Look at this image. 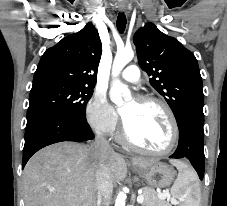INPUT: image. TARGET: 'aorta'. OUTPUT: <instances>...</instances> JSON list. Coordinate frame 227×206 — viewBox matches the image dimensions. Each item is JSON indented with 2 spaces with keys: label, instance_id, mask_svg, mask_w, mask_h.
<instances>
[{
  "label": "aorta",
  "instance_id": "762f6f07",
  "mask_svg": "<svg viewBox=\"0 0 227 206\" xmlns=\"http://www.w3.org/2000/svg\"><path fill=\"white\" fill-rule=\"evenodd\" d=\"M134 52L132 49L119 50L115 56L113 66H112V83L109 91L110 99L116 105H121L123 100L130 98V90L127 85L123 84L118 76L122 69L133 59ZM126 204V194L124 192H119L115 200V206H125Z\"/></svg>",
  "mask_w": 227,
  "mask_h": 206
}]
</instances>
